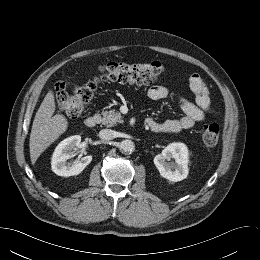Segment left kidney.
I'll return each mask as SVG.
<instances>
[{
  "label": "left kidney",
  "mask_w": 260,
  "mask_h": 260,
  "mask_svg": "<svg viewBox=\"0 0 260 260\" xmlns=\"http://www.w3.org/2000/svg\"><path fill=\"white\" fill-rule=\"evenodd\" d=\"M172 159L174 161H171ZM188 162V148L183 143L169 144L154 158V164L160 175L172 182L181 181L187 177Z\"/></svg>",
  "instance_id": "5707ae66"
}]
</instances>
